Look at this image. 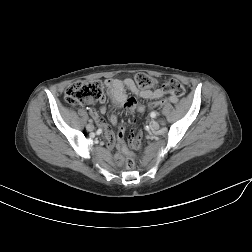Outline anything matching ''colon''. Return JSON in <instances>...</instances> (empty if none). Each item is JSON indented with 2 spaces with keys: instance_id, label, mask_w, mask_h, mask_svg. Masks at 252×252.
I'll return each mask as SVG.
<instances>
[{
  "instance_id": "colon-1",
  "label": "colon",
  "mask_w": 252,
  "mask_h": 252,
  "mask_svg": "<svg viewBox=\"0 0 252 252\" xmlns=\"http://www.w3.org/2000/svg\"><path fill=\"white\" fill-rule=\"evenodd\" d=\"M134 81L137 87L141 89H148L155 85V79L146 74L138 73L134 77ZM164 92L180 97L184 94V86L176 79H169L165 81L162 85ZM104 98L103 86L99 81L93 82H78L69 87L66 91V100L70 104H82L94 100H102ZM162 102H152L149 104L150 107H156L161 105ZM130 145L133 148H138L140 146L141 134L135 130L130 133ZM125 165L128 169L133 168L134 159L133 155L126 151L125 152Z\"/></svg>"
}]
</instances>
